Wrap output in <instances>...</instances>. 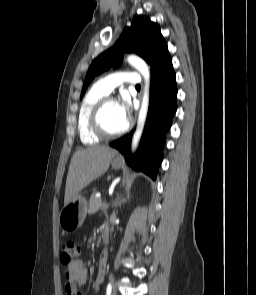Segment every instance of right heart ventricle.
I'll list each match as a JSON object with an SVG mask.
<instances>
[{"label":"right heart ventricle","mask_w":256,"mask_h":295,"mask_svg":"<svg viewBox=\"0 0 256 295\" xmlns=\"http://www.w3.org/2000/svg\"><path fill=\"white\" fill-rule=\"evenodd\" d=\"M106 95L95 85L86 93L81 102L78 114V132L82 143L85 145L97 144L101 139L90 129L89 118L95 104Z\"/></svg>","instance_id":"1"}]
</instances>
